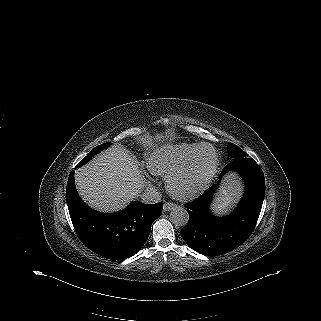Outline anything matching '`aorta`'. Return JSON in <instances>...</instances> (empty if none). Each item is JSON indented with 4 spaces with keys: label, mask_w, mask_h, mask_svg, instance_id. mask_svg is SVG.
<instances>
[{
    "label": "aorta",
    "mask_w": 321,
    "mask_h": 321,
    "mask_svg": "<svg viewBox=\"0 0 321 321\" xmlns=\"http://www.w3.org/2000/svg\"><path fill=\"white\" fill-rule=\"evenodd\" d=\"M171 222L178 227H184L189 221V214L184 207L177 206L170 213Z\"/></svg>",
    "instance_id": "1"
}]
</instances>
